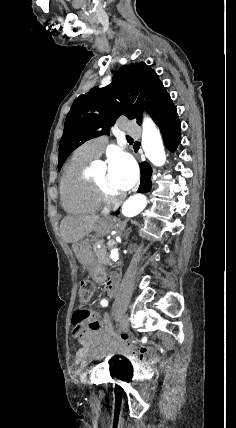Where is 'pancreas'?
I'll return each instance as SVG.
<instances>
[{
    "mask_svg": "<svg viewBox=\"0 0 236 428\" xmlns=\"http://www.w3.org/2000/svg\"><path fill=\"white\" fill-rule=\"evenodd\" d=\"M99 242H96V244H94L93 246V250H94V254L95 256H97L99 262H101V264H106V266H108V264H110V260L108 258V254H107V246H101V248H99V250H97V246H98Z\"/></svg>",
    "mask_w": 236,
    "mask_h": 428,
    "instance_id": "cf45deb5",
    "label": "pancreas"
}]
</instances>
